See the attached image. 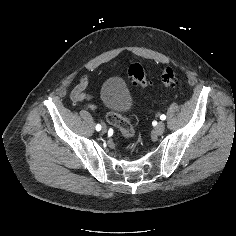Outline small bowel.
<instances>
[{"label":"small bowel","mask_w":236,"mask_h":236,"mask_svg":"<svg viewBox=\"0 0 236 236\" xmlns=\"http://www.w3.org/2000/svg\"><path fill=\"white\" fill-rule=\"evenodd\" d=\"M88 83V77L83 76L81 78L80 83L75 87V89L73 90V98L77 101L82 100L84 98H87L89 100H91V97L87 96L85 94V88L87 86ZM96 106L94 104H90V108H95Z\"/></svg>","instance_id":"small-bowel-1"}]
</instances>
